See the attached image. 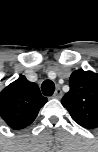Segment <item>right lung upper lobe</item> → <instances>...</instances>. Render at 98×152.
<instances>
[{
    "instance_id": "obj_1",
    "label": "right lung upper lobe",
    "mask_w": 98,
    "mask_h": 152,
    "mask_svg": "<svg viewBox=\"0 0 98 152\" xmlns=\"http://www.w3.org/2000/svg\"><path fill=\"white\" fill-rule=\"evenodd\" d=\"M47 102L36 83L20 76L0 92V117L14 130L30 125Z\"/></svg>"
}]
</instances>
